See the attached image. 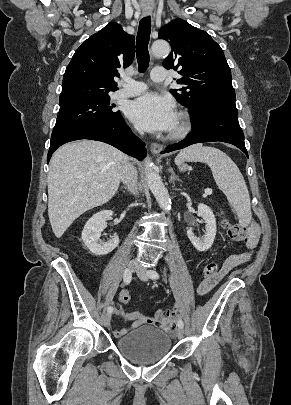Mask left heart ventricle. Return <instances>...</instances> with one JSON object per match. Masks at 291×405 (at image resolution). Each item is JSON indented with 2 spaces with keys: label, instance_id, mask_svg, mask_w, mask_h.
I'll return each mask as SVG.
<instances>
[{
  "label": "left heart ventricle",
  "instance_id": "b2bd125f",
  "mask_svg": "<svg viewBox=\"0 0 291 405\" xmlns=\"http://www.w3.org/2000/svg\"><path fill=\"white\" fill-rule=\"evenodd\" d=\"M177 126V121H176V124H175V126H174V128Z\"/></svg>",
  "mask_w": 291,
  "mask_h": 405
}]
</instances>
